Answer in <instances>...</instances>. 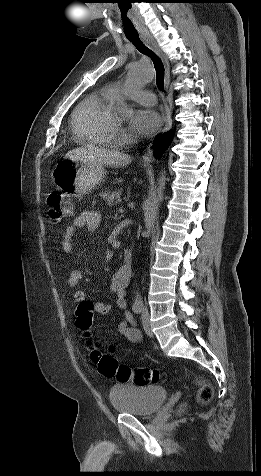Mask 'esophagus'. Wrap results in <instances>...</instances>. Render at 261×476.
<instances>
[{
    "label": "esophagus",
    "mask_w": 261,
    "mask_h": 476,
    "mask_svg": "<svg viewBox=\"0 0 261 476\" xmlns=\"http://www.w3.org/2000/svg\"><path fill=\"white\" fill-rule=\"evenodd\" d=\"M142 40L144 43L149 46L162 60L165 68V89H168L169 83H170V64L167 59V57L164 55V53L161 51L157 43L155 42L154 38L149 34H143L141 36ZM172 126V119H171V113L169 109H166L165 112V117H164V127L162 129V132H167L170 130ZM153 157V150L151 149V146L147 147L145 154L143 156V161L145 164H149L152 161Z\"/></svg>",
    "instance_id": "1"
}]
</instances>
